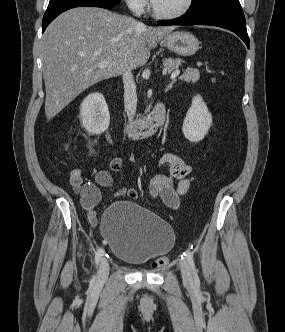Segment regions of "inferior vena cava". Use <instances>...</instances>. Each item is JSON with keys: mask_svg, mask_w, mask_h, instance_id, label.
Here are the masks:
<instances>
[{"mask_svg": "<svg viewBox=\"0 0 285 332\" xmlns=\"http://www.w3.org/2000/svg\"><path fill=\"white\" fill-rule=\"evenodd\" d=\"M122 77L124 83V107L128 119L131 122L134 119L137 108L136 85L131 70L123 72Z\"/></svg>", "mask_w": 285, "mask_h": 332, "instance_id": "inferior-vena-cava-1", "label": "inferior vena cava"}]
</instances>
